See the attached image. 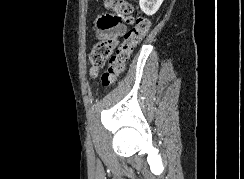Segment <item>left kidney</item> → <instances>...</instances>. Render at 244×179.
Masks as SVG:
<instances>
[{"instance_id":"5707ae66","label":"left kidney","mask_w":244,"mask_h":179,"mask_svg":"<svg viewBox=\"0 0 244 179\" xmlns=\"http://www.w3.org/2000/svg\"><path fill=\"white\" fill-rule=\"evenodd\" d=\"M164 0H139V6L147 16H153L159 10Z\"/></svg>"}]
</instances>
